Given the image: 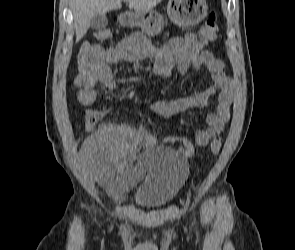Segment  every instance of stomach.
<instances>
[{
	"instance_id": "0dacf381",
	"label": "stomach",
	"mask_w": 295,
	"mask_h": 250,
	"mask_svg": "<svg viewBox=\"0 0 295 250\" xmlns=\"http://www.w3.org/2000/svg\"><path fill=\"white\" fill-rule=\"evenodd\" d=\"M206 0H169L167 14L179 26H193L207 15ZM124 27H139L148 36H154L164 27V17L153 9L127 12L119 18Z\"/></svg>"
}]
</instances>
